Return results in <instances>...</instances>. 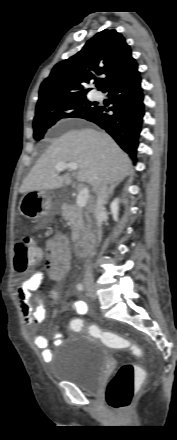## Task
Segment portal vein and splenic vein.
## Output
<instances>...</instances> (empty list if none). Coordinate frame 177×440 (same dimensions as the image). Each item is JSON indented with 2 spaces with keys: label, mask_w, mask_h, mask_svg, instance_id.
Here are the masks:
<instances>
[{
  "label": "portal vein and splenic vein",
  "mask_w": 177,
  "mask_h": 440,
  "mask_svg": "<svg viewBox=\"0 0 177 440\" xmlns=\"http://www.w3.org/2000/svg\"><path fill=\"white\" fill-rule=\"evenodd\" d=\"M65 169L77 170L78 164L74 163V162H70V163L59 162L55 166L56 171H63ZM88 198H89V189L87 187H85L79 192V194L77 196V199H76L77 207H79V208L85 207L87 204Z\"/></svg>",
  "instance_id": "portal-vein-and-splenic-vein-1"
}]
</instances>
